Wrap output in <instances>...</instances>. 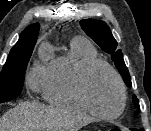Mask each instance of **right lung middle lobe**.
<instances>
[{"instance_id":"1","label":"right lung middle lobe","mask_w":151,"mask_h":131,"mask_svg":"<svg viewBox=\"0 0 151 131\" xmlns=\"http://www.w3.org/2000/svg\"><path fill=\"white\" fill-rule=\"evenodd\" d=\"M35 44L12 48L0 73V103L17 97L23 88L25 70Z\"/></svg>"}]
</instances>
